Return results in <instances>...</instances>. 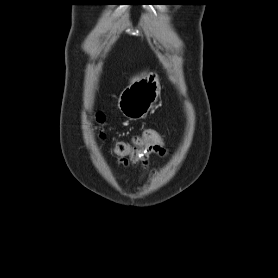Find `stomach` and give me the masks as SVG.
Masks as SVG:
<instances>
[{
  "instance_id": "0dacf381",
  "label": "stomach",
  "mask_w": 278,
  "mask_h": 278,
  "mask_svg": "<svg viewBox=\"0 0 278 278\" xmlns=\"http://www.w3.org/2000/svg\"><path fill=\"white\" fill-rule=\"evenodd\" d=\"M158 75L152 72L132 82L120 94L118 107L130 120L143 119L153 107L160 95Z\"/></svg>"
}]
</instances>
